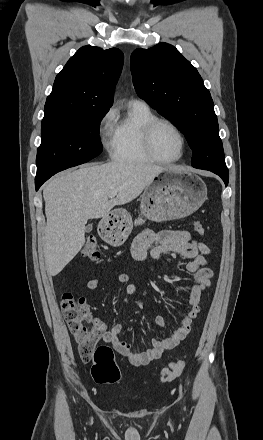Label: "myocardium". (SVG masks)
<instances>
[{
    "instance_id": "1",
    "label": "myocardium",
    "mask_w": 263,
    "mask_h": 440,
    "mask_svg": "<svg viewBox=\"0 0 263 440\" xmlns=\"http://www.w3.org/2000/svg\"><path fill=\"white\" fill-rule=\"evenodd\" d=\"M160 124H166L170 126L179 135L181 139V152L179 156L174 159H162L158 157L154 152L153 144H152L153 133L157 128V126ZM142 146L145 153L152 161L161 164H172L180 161L184 157L187 149V139L184 133L182 132V130L174 122H172L167 118L156 117L151 121H149L147 124H145V126L142 129Z\"/></svg>"
}]
</instances>
